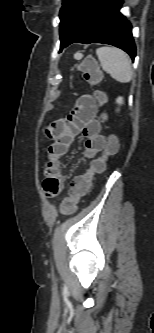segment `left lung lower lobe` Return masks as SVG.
Instances as JSON below:
<instances>
[{
    "instance_id": "0a47b994",
    "label": "left lung lower lobe",
    "mask_w": 154,
    "mask_h": 333,
    "mask_svg": "<svg viewBox=\"0 0 154 333\" xmlns=\"http://www.w3.org/2000/svg\"><path fill=\"white\" fill-rule=\"evenodd\" d=\"M122 2L123 0H98L64 46L76 42L105 43L124 50L134 60L136 47L131 24L119 12Z\"/></svg>"
}]
</instances>
